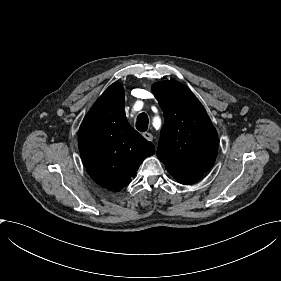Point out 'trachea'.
<instances>
[{
    "instance_id": "trachea-1",
    "label": "trachea",
    "mask_w": 281,
    "mask_h": 281,
    "mask_svg": "<svg viewBox=\"0 0 281 281\" xmlns=\"http://www.w3.org/2000/svg\"><path fill=\"white\" fill-rule=\"evenodd\" d=\"M148 116L146 113H140L137 116V121H136V128L139 131H146L148 129Z\"/></svg>"
}]
</instances>
